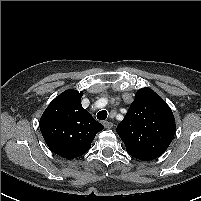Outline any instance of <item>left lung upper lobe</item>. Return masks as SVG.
Segmentation results:
<instances>
[{"label":"left lung upper lobe","mask_w":201,"mask_h":201,"mask_svg":"<svg viewBox=\"0 0 201 201\" xmlns=\"http://www.w3.org/2000/svg\"><path fill=\"white\" fill-rule=\"evenodd\" d=\"M175 129V118L166 102L150 88H142L118 124L117 133L131 156L149 161L165 152Z\"/></svg>","instance_id":"obj_1"}]
</instances>
